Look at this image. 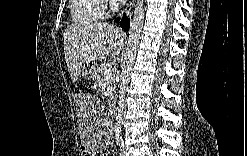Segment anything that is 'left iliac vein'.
I'll return each instance as SVG.
<instances>
[{
  "label": "left iliac vein",
  "mask_w": 247,
  "mask_h": 156,
  "mask_svg": "<svg viewBox=\"0 0 247 156\" xmlns=\"http://www.w3.org/2000/svg\"><path fill=\"white\" fill-rule=\"evenodd\" d=\"M121 155L126 156L125 145H124L123 142H122V145H121Z\"/></svg>",
  "instance_id": "4c4485c4"
}]
</instances>
